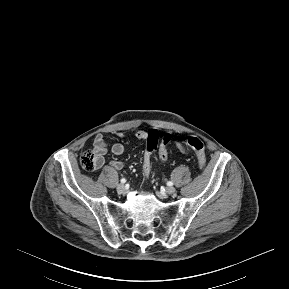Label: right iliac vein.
I'll return each mask as SVG.
<instances>
[{
	"mask_svg": "<svg viewBox=\"0 0 289 289\" xmlns=\"http://www.w3.org/2000/svg\"><path fill=\"white\" fill-rule=\"evenodd\" d=\"M117 192H118L119 194L125 193V192H126V187H125V185H124V184H119V185L117 186Z\"/></svg>",
	"mask_w": 289,
	"mask_h": 289,
	"instance_id": "obj_1",
	"label": "right iliac vein"
}]
</instances>
